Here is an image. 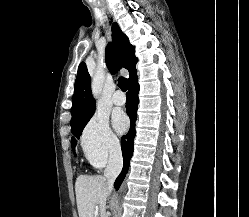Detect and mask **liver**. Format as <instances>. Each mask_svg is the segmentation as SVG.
<instances>
[{
  "instance_id": "1",
  "label": "liver",
  "mask_w": 249,
  "mask_h": 217,
  "mask_svg": "<svg viewBox=\"0 0 249 217\" xmlns=\"http://www.w3.org/2000/svg\"><path fill=\"white\" fill-rule=\"evenodd\" d=\"M75 192L79 217H94V209L98 206L101 217H105L109 190L107 181L102 176H78Z\"/></svg>"
}]
</instances>
